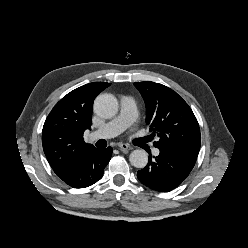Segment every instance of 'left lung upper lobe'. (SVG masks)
Listing matches in <instances>:
<instances>
[{
    "mask_svg": "<svg viewBox=\"0 0 248 248\" xmlns=\"http://www.w3.org/2000/svg\"><path fill=\"white\" fill-rule=\"evenodd\" d=\"M146 105V123L159 140L154 146L197 159L200 129L188 104L172 89L151 81L134 83Z\"/></svg>",
    "mask_w": 248,
    "mask_h": 248,
    "instance_id": "5c2ea615",
    "label": "left lung upper lobe"
}]
</instances>
